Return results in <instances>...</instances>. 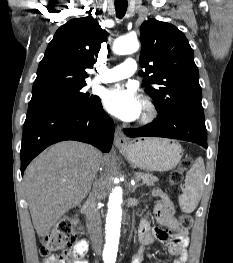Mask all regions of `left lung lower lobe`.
<instances>
[{"label":"left lung lower lobe","instance_id":"left-lung-lower-lobe-1","mask_svg":"<svg viewBox=\"0 0 233 263\" xmlns=\"http://www.w3.org/2000/svg\"><path fill=\"white\" fill-rule=\"evenodd\" d=\"M125 134L129 137L155 136L186 140L207 148L204 112L201 110L183 109L158 116L142 128L127 129Z\"/></svg>","mask_w":233,"mask_h":263}]
</instances>
